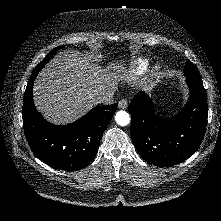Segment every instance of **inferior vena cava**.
I'll return each instance as SVG.
<instances>
[{
	"instance_id": "1",
	"label": "inferior vena cava",
	"mask_w": 221,
	"mask_h": 221,
	"mask_svg": "<svg viewBox=\"0 0 221 221\" xmlns=\"http://www.w3.org/2000/svg\"><path fill=\"white\" fill-rule=\"evenodd\" d=\"M114 91L112 89L105 90L101 92L97 97H96V102L99 104H104V105H109L114 102L113 95Z\"/></svg>"
}]
</instances>
